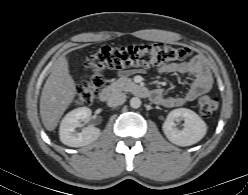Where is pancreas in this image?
<instances>
[{"label": "pancreas", "mask_w": 248, "mask_h": 195, "mask_svg": "<svg viewBox=\"0 0 248 195\" xmlns=\"http://www.w3.org/2000/svg\"><path fill=\"white\" fill-rule=\"evenodd\" d=\"M112 86L123 91H130L134 86V82L127 77L119 78L112 83Z\"/></svg>", "instance_id": "pancreas-1"}]
</instances>
